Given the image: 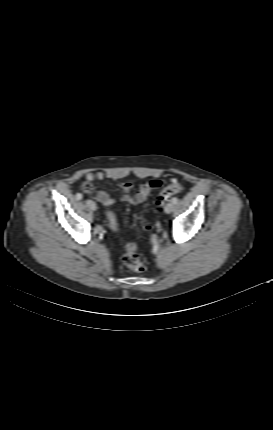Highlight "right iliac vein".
Returning <instances> with one entry per match:
<instances>
[{"instance_id": "63e3f726", "label": "right iliac vein", "mask_w": 273, "mask_h": 430, "mask_svg": "<svg viewBox=\"0 0 273 430\" xmlns=\"http://www.w3.org/2000/svg\"><path fill=\"white\" fill-rule=\"evenodd\" d=\"M86 204L88 205V207L93 210L96 211L97 210V205L95 202H93L92 200H87Z\"/></svg>"}]
</instances>
